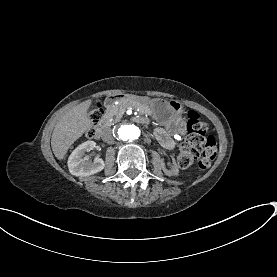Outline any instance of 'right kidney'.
<instances>
[{
	"label": "right kidney",
	"instance_id": "ca27d5eb",
	"mask_svg": "<svg viewBox=\"0 0 277 277\" xmlns=\"http://www.w3.org/2000/svg\"><path fill=\"white\" fill-rule=\"evenodd\" d=\"M95 147L96 143L94 141H86L73 150L68 158V168L72 175L84 177L104 169L103 159L96 156L92 162L89 157H84L85 152H89Z\"/></svg>",
	"mask_w": 277,
	"mask_h": 277
}]
</instances>
